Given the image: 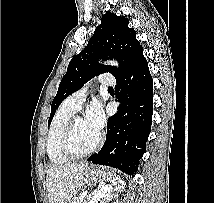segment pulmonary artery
<instances>
[{
	"mask_svg": "<svg viewBox=\"0 0 214 203\" xmlns=\"http://www.w3.org/2000/svg\"><path fill=\"white\" fill-rule=\"evenodd\" d=\"M98 81L101 85L106 87H112L115 85V79L111 73L101 74L98 78ZM88 87L89 85H85L82 89L76 91L67 98V102L71 107L75 108L76 110L80 109L81 105L85 101Z\"/></svg>",
	"mask_w": 214,
	"mask_h": 203,
	"instance_id": "obj_1",
	"label": "pulmonary artery"
}]
</instances>
